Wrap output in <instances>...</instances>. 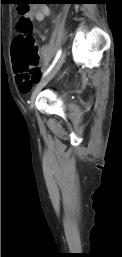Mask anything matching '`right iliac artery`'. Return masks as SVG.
I'll return each instance as SVG.
<instances>
[{
	"instance_id": "82829eb1",
	"label": "right iliac artery",
	"mask_w": 122,
	"mask_h": 257,
	"mask_svg": "<svg viewBox=\"0 0 122 257\" xmlns=\"http://www.w3.org/2000/svg\"><path fill=\"white\" fill-rule=\"evenodd\" d=\"M61 53H62L61 50H59V51L57 52L53 63H52L51 66L48 68V70L44 73V76L47 75V74L52 70V68L54 67V65L56 64V62L58 61V59L60 58Z\"/></svg>"
}]
</instances>
